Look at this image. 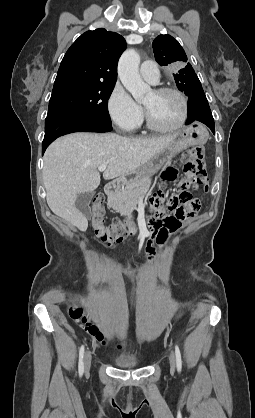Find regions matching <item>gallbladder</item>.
I'll list each match as a JSON object with an SVG mask.
<instances>
[{
  "mask_svg": "<svg viewBox=\"0 0 255 418\" xmlns=\"http://www.w3.org/2000/svg\"><path fill=\"white\" fill-rule=\"evenodd\" d=\"M94 193L93 192H87V193H81L78 195L75 206L76 208L86 217H89L91 215L90 210V202L93 198Z\"/></svg>",
  "mask_w": 255,
  "mask_h": 418,
  "instance_id": "gallbladder-1",
  "label": "gallbladder"
}]
</instances>
